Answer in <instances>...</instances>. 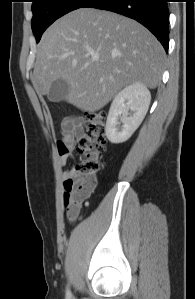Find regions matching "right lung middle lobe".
I'll return each instance as SVG.
<instances>
[{"instance_id":"1","label":"right lung middle lobe","mask_w":195,"mask_h":299,"mask_svg":"<svg viewBox=\"0 0 195 299\" xmlns=\"http://www.w3.org/2000/svg\"><path fill=\"white\" fill-rule=\"evenodd\" d=\"M89 0H33L31 20L32 31L36 42L42 33L61 16L82 7Z\"/></svg>"}]
</instances>
